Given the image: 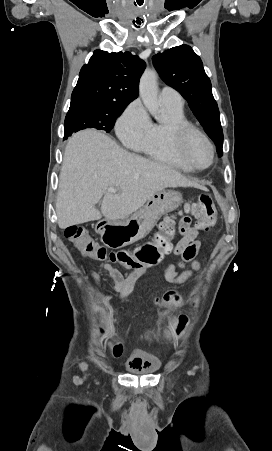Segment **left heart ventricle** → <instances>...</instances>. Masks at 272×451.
I'll return each instance as SVG.
<instances>
[{"label": "left heart ventricle", "mask_w": 272, "mask_h": 451, "mask_svg": "<svg viewBox=\"0 0 272 451\" xmlns=\"http://www.w3.org/2000/svg\"><path fill=\"white\" fill-rule=\"evenodd\" d=\"M209 153L203 143L193 137L188 145L187 160L191 166L197 169L206 168L209 163Z\"/></svg>", "instance_id": "b2bd125f"}]
</instances>
